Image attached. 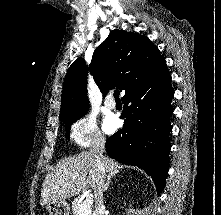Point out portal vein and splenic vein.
Segmentation results:
<instances>
[{
    "label": "portal vein and splenic vein",
    "instance_id": "obj_1",
    "mask_svg": "<svg viewBox=\"0 0 221 215\" xmlns=\"http://www.w3.org/2000/svg\"><path fill=\"white\" fill-rule=\"evenodd\" d=\"M91 200H92V194L89 193V194L86 195L85 202H87V203H91Z\"/></svg>",
    "mask_w": 221,
    "mask_h": 215
}]
</instances>
